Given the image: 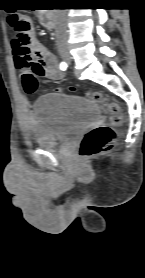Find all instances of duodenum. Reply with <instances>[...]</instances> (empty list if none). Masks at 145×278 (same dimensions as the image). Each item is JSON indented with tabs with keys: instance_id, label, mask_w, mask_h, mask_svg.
Here are the masks:
<instances>
[{
	"instance_id": "1",
	"label": "duodenum",
	"mask_w": 145,
	"mask_h": 278,
	"mask_svg": "<svg viewBox=\"0 0 145 278\" xmlns=\"http://www.w3.org/2000/svg\"><path fill=\"white\" fill-rule=\"evenodd\" d=\"M40 22L45 25L47 28H53L54 27V23L52 21V19L50 18L48 13H45L43 15L40 16L39 18Z\"/></svg>"
}]
</instances>
